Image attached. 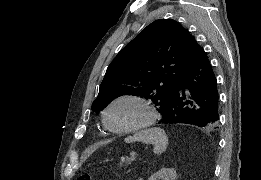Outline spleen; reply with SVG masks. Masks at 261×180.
Returning a JSON list of instances; mask_svg holds the SVG:
<instances>
[{
  "mask_svg": "<svg viewBox=\"0 0 261 180\" xmlns=\"http://www.w3.org/2000/svg\"><path fill=\"white\" fill-rule=\"evenodd\" d=\"M126 144L130 142H145V144H153L154 154H163L166 152L168 146V138L161 128H148V130H141L136 132L134 136L125 138Z\"/></svg>",
  "mask_w": 261,
  "mask_h": 180,
  "instance_id": "obj_1",
  "label": "spleen"
}]
</instances>
